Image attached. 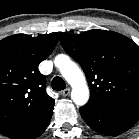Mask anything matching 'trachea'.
<instances>
[{"instance_id": "trachea-1", "label": "trachea", "mask_w": 139, "mask_h": 139, "mask_svg": "<svg viewBox=\"0 0 139 139\" xmlns=\"http://www.w3.org/2000/svg\"><path fill=\"white\" fill-rule=\"evenodd\" d=\"M66 87L65 81L61 78V77H55L52 80V88L54 90L60 91V90H64Z\"/></svg>"}]
</instances>
